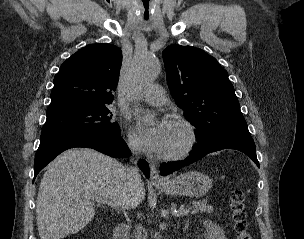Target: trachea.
<instances>
[{
  "label": "trachea",
  "mask_w": 304,
  "mask_h": 239,
  "mask_svg": "<svg viewBox=\"0 0 304 239\" xmlns=\"http://www.w3.org/2000/svg\"><path fill=\"white\" fill-rule=\"evenodd\" d=\"M151 3H152V0H141L140 5L144 11H147L149 9ZM143 17L145 19H148L150 17V14L148 12H145L143 14Z\"/></svg>",
  "instance_id": "1"
}]
</instances>
